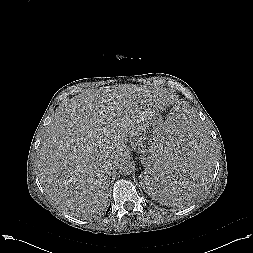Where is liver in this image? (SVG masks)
Masks as SVG:
<instances>
[{"label": "liver", "instance_id": "liver-1", "mask_svg": "<svg viewBox=\"0 0 253 253\" xmlns=\"http://www.w3.org/2000/svg\"><path fill=\"white\" fill-rule=\"evenodd\" d=\"M164 89L124 84L86 90L55 110L37 155L51 202L76 218L99 215L108 204L112 166L165 109Z\"/></svg>", "mask_w": 253, "mask_h": 253}]
</instances>
